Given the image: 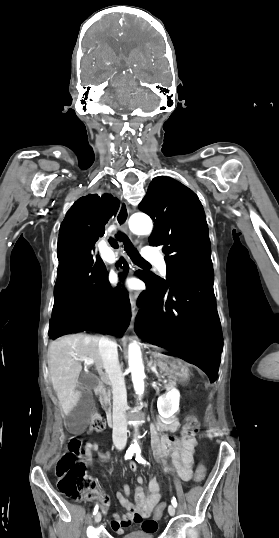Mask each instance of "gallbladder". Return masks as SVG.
<instances>
[{"label": "gallbladder", "mask_w": 279, "mask_h": 538, "mask_svg": "<svg viewBox=\"0 0 279 538\" xmlns=\"http://www.w3.org/2000/svg\"><path fill=\"white\" fill-rule=\"evenodd\" d=\"M101 385V378L99 376H93V374H86L82 372L79 378V384L76 390L81 392V403L68 414V419L71 422L69 429L71 433H82L84 428H87L91 419V410H95L97 403L89 391L92 387H99Z\"/></svg>", "instance_id": "gallbladder-1"}]
</instances>
